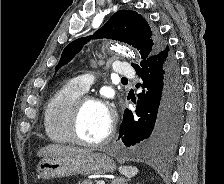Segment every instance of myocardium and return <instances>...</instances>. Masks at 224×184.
Listing matches in <instances>:
<instances>
[{
	"label": "myocardium",
	"instance_id": "myocardium-1",
	"mask_svg": "<svg viewBox=\"0 0 224 184\" xmlns=\"http://www.w3.org/2000/svg\"><path fill=\"white\" fill-rule=\"evenodd\" d=\"M90 102L100 103L105 106V103L92 95H82L80 96L70 114L69 122H68V132L71 138V141L82 146L86 147H100L108 143L114 136L116 131V118L114 112L108 107L109 115H110V124L107 134L98 141H88L83 139L79 134V121L82 114V111L86 104ZM106 107V106H105Z\"/></svg>",
	"mask_w": 224,
	"mask_h": 184
}]
</instances>
